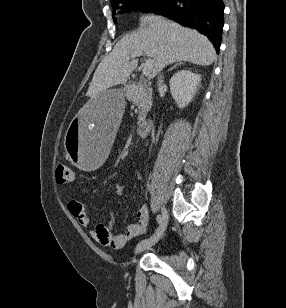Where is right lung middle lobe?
Masks as SVG:
<instances>
[{
  "instance_id": "obj_1",
  "label": "right lung middle lobe",
  "mask_w": 286,
  "mask_h": 308,
  "mask_svg": "<svg viewBox=\"0 0 286 308\" xmlns=\"http://www.w3.org/2000/svg\"><path fill=\"white\" fill-rule=\"evenodd\" d=\"M166 2L167 0H117L112 4V7L117 8L119 5L123 12L137 9L143 12H156ZM114 14L115 10L113 11Z\"/></svg>"
}]
</instances>
